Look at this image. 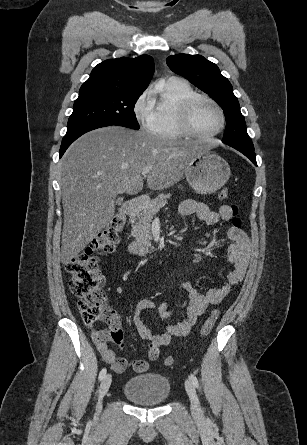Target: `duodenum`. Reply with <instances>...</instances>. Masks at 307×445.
<instances>
[{
    "label": "duodenum",
    "mask_w": 307,
    "mask_h": 445,
    "mask_svg": "<svg viewBox=\"0 0 307 445\" xmlns=\"http://www.w3.org/2000/svg\"><path fill=\"white\" fill-rule=\"evenodd\" d=\"M147 198L145 196H140L131 200H128L123 207V211L130 218L136 216V214L140 211L142 206L146 203ZM128 250L130 253L135 255H147L153 252V249L139 241H132L128 245Z\"/></svg>",
    "instance_id": "1"
}]
</instances>
